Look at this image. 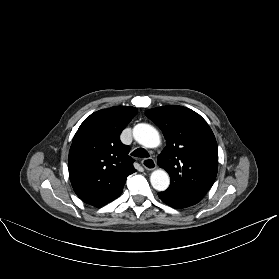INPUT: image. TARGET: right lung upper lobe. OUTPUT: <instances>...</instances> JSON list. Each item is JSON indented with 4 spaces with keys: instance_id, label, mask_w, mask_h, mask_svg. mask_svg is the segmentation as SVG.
<instances>
[{
    "instance_id": "cb5924a9",
    "label": "right lung upper lobe",
    "mask_w": 279,
    "mask_h": 279,
    "mask_svg": "<svg viewBox=\"0 0 279 279\" xmlns=\"http://www.w3.org/2000/svg\"><path fill=\"white\" fill-rule=\"evenodd\" d=\"M137 111L126 106L99 110L76 132L68 157L69 176L76 195L85 203L101 207L115 200L126 178L136 172L120 134Z\"/></svg>"
}]
</instances>
